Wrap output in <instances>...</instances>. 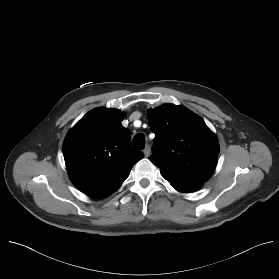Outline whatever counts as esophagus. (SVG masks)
Instances as JSON below:
<instances>
[{"label":"esophagus","instance_id":"esophagus-1","mask_svg":"<svg viewBox=\"0 0 279 279\" xmlns=\"http://www.w3.org/2000/svg\"><path fill=\"white\" fill-rule=\"evenodd\" d=\"M145 157H148L150 155V149L148 146L145 147V149L143 150Z\"/></svg>","mask_w":279,"mask_h":279}]
</instances>
